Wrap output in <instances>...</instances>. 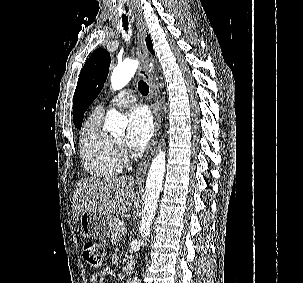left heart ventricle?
<instances>
[{"mask_svg": "<svg viewBox=\"0 0 303 283\" xmlns=\"http://www.w3.org/2000/svg\"><path fill=\"white\" fill-rule=\"evenodd\" d=\"M118 140H121L122 139V136H117L116 137Z\"/></svg>", "mask_w": 303, "mask_h": 283, "instance_id": "1", "label": "left heart ventricle"}]
</instances>
